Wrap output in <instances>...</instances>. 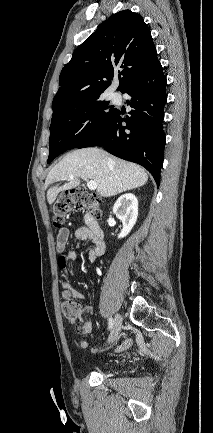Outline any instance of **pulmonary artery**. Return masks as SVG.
Returning <instances> with one entry per match:
<instances>
[{
    "mask_svg": "<svg viewBox=\"0 0 213 433\" xmlns=\"http://www.w3.org/2000/svg\"><path fill=\"white\" fill-rule=\"evenodd\" d=\"M112 99H113L114 101H119V99H120L119 94L114 93V94L112 95Z\"/></svg>",
    "mask_w": 213,
    "mask_h": 433,
    "instance_id": "pulmonary-artery-1",
    "label": "pulmonary artery"
}]
</instances>
